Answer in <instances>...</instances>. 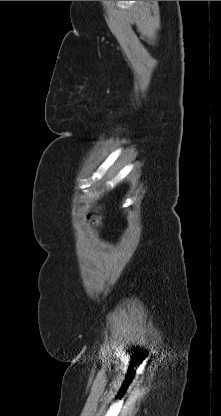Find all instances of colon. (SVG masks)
<instances>
[{
    "instance_id": "1",
    "label": "colon",
    "mask_w": 221,
    "mask_h": 416,
    "mask_svg": "<svg viewBox=\"0 0 221 416\" xmlns=\"http://www.w3.org/2000/svg\"><path fill=\"white\" fill-rule=\"evenodd\" d=\"M87 219L92 223V224H99L100 222V216L96 211L90 212L87 215Z\"/></svg>"
}]
</instances>
